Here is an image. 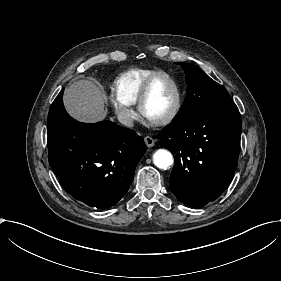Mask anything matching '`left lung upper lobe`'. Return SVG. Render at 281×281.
<instances>
[{"label":"left lung upper lobe","instance_id":"1","mask_svg":"<svg viewBox=\"0 0 281 281\" xmlns=\"http://www.w3.org/2000/svg\"><path fill=\"white\" fill-rule=\"evenodd\" d=\"M180 64L186 74L187 93L173 121L209 110L235 105L228 92L194 64Z\"/></svg>","mask_w":281,"mask_h":281}]
</instances>
